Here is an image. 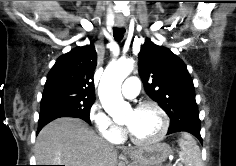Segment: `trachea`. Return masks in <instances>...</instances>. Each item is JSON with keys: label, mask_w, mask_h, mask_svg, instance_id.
Masks as SVG:
<instances>
[{"label": "trachea", "mask_w": 236, "mask_h": 166, "mask_svg": "<svg viewBox=\"0 0 236 166\" xmlns=\"http://www.w3.org/2000/svg\"><path fill=\"white\" fill-rule=\"evenodd\" d=\"M124 33H125L124 28H117V27L113 28V36L116 41H121Z\"/></svg>", "instance_id": "1"}]
</instances>
